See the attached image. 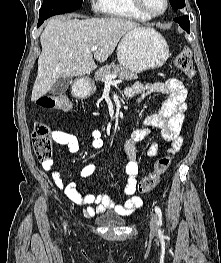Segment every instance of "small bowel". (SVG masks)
Segmentation results:
<instances>
[{
    "instance_id": "c3829d8e",
    "label": "small bowel",
    "mask_w": 221,
    "mask_h": 263,
    "mask_svg": "<svg viewBox=\"0 0 221 263\" xmlns=\"http://www.w3.org/2000/svg\"><path fill=\"white\" fill-rule=\"evenodd\" d=\"M162 94L166 99L160 110L144 119V127L134 130L125 140L122 150L124 153L127 174V182L123 188V194L127 198L123 204L114 203L106 192L93 194L88 190H81L71 182L65 183L58 169L53 167L52 160L42 161V167L50 173L55 185L61 189L66 196L76 205L87 206L85 215L93 217L104 213L106 210H113L122 216H129L142 206V199L137 196V176L139 172L138 161L136 157V144L145 139L151 132V128L160 129L161 135L165 140L171 142L169 153L179 152L184 144L183 133L186 129V111H187V89L185 85L177 79H169L165 82H154L143 84L135 82L125 90V96L128 98L137 97L142 99L150 94ZM91 148L99 150L104 146L102 132L98 129H90ZM52 138L58 145L67 147L75 154L79 151V141L77 137L65 131H54ZM147 155L150 157L159 156V147L157 143H151L147 148ZM95 172L93 164L86 165L81 170L82 177H90Z\"/></svg>"
}]
</instances>
